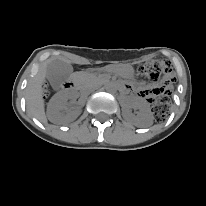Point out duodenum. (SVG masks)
Returning <instances> with one entry per match:
<instances>
[{
	"label": "duodenum",
	"mask_w": 206,
	"mask_h": 206,
	"mask_svg": "<svg viewBox=\"0 0 206 206\" xmlns=\"http://www.w3.org/2000/svg\"><path fill=\"white\" fill-rule=\"evenodd\" d=\"M64 88H65L66 90L76 89V88H77V83L75 82V80L70 79V80H68V81L65 82Z\"/></svg>",
	"instance_id": "obj_1"
}]
</instances>
